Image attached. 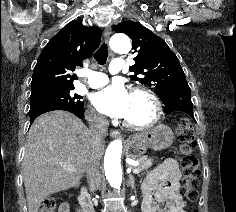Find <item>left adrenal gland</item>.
<instances>
[{"mask_svg": "<svg viewBox=\"0 0 236 212\" xmlns=\"http://www.w3.org/2000/svg\"><path fill=\"white\" fill-rule=\"evenodd\" d=\"M134 177L133 175H129V185L131 186L132 189H135V185H134Z\"/></svg>", "mask_w": 236, "mask_h": 212, "instance_id": "left-adrenal-gland-1", "label": "left adrenal gland"}]
</instances>
